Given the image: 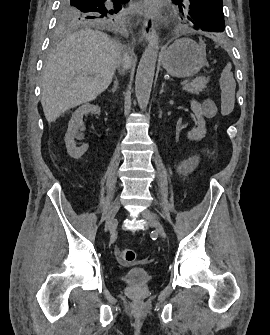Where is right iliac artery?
Returning a JSON list of instances; mask_svg holds the SVG:
<instances>
[{
    "label": "right iliac artery",
    "mask_w": 270,
    "mask_h": 335,
    "mask_svg": "<svg viewBox=\"0 0 270 335\" xmlns=\"http://www.w3.org/2000/svg\"><path fill=\"white\" fill-rule=\"evenodd\" d=\"M116 239V233H113L111 236V242H113Z\"/></svg>",
    "instance_id": "1"
}]
</instances>
